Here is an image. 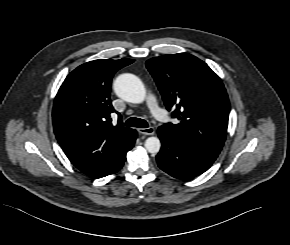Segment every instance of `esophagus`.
<instances>
[{
	"label": "esophagus",
	"instance_id": "34e87169",
	"mask_svg": "<svg viewBox=\"0 0 290 245\" xmlns=\"http://www.w3.org/2000/svg\"><path fill=\"white\" fill-rule=\"evenodd\" d=\"M138 132L143 135H153L155 133L154 127L140 128Z\"/></svg>",
	"mask_w": 290,
	"mask_h": 245
}]
</instances>
